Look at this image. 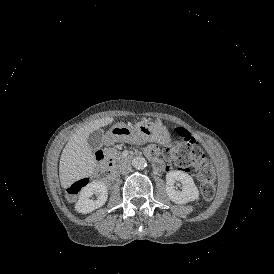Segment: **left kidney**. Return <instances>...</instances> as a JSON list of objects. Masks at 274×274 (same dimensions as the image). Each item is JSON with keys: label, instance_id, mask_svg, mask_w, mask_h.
<instances>
[{"label": "left kidney", "instance_id": "left-kidney-1", "mask_svg": "<svg viewBox=\"0 0 274 274\" xmlns=\"http://www.w3.org/2000/svg\"><path fill=\"white\" fill-rule=\"evenodd\" d=\"M182 184V190H176L175 183ZM166 194L176 204H186L199 197V191L194 184L193 178L183 171H170L166 175Z\"/></svg>", "mask_w": 274, "mask_h": 274}]
</instances>
